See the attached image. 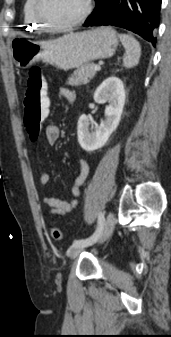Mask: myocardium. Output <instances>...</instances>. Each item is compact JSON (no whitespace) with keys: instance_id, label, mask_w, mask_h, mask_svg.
<instances>
[{"instance_id":"1","label":"myocardium","mask_w":171,"mask_h":337,"mask_svg":"<svg viewBox=\"0 0 171 337\" xmlns=\"http://www.w3.org/2000/svg\"><path fill=\"white\" fill-rule=\"evenodd\" d=\"M43 4L44 0H35V15L37 20L41 23V25L49 31H64L67 29L74 28L84 22L90 15L92 11V2L91 0H85V7L83 12L74 20L62 23V24H56L51 21H49L46 16L43 13Z\"/></svg>"}]
</instances>
